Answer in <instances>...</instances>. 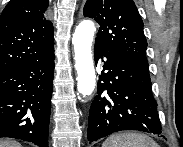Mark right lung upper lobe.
I'll list each match as a JSON object with an SVG mask.
<instances>
[{
  "label": "right lung upper lobe",
  "mask_w": 183,
  "mask_h": 147,
  "mask_svg": "<svg viewBox=\"0 0 183 147\" xmlns=\"http://www.w3.org/2000/svg\"><path fill=\"white\" fill-rule=\"evenodd\" d=\"M48 0H11L0 16V73L54 51Z\"/></svg>",
  "instance_id": "right-lung-upper-lobe-1"
}]
</instances>
